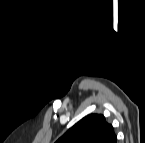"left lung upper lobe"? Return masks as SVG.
I'll list each match as a JSON object with an SVG mask.
<instances>
[{
	"instance_id": "obj_1",
	"label": "left lung upper lobe",
	"mask_w": 145,
	"mask_h": 143,
	"mask_svg": "<svg viewBox=\"0 0 145 143\" xmlns=\"http://www.w3.org/2000/svg\"><path fill=\"white\" fill-rule=\"evenodd\" d=\"M113 127L103 115L91 114L70 128L58 143H116Z\"/></svg>"
}]
</instances>
